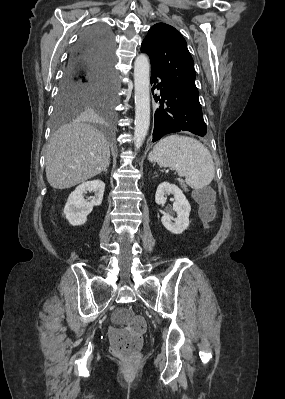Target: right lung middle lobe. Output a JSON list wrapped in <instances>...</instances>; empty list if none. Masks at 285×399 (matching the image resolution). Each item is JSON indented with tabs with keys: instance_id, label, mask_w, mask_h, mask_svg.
I'll return each instance as SVG.
<instances>
[{
	"instance_id": "right-lung-middle-lobe-1",
	"label": "right lung middle lobe",
	"mask_w": 285,
	"mask_h": 399,
	"mask_svg": "<svg viewBox=\"0 0 285 399\" xmlns=\"http://www.w3.org/2000/svg\"><path fill=\"white\" fill-rule=\"evenodd\" d=\"M114 95V82L86 84L63 78L55 102V122L58 125L80 111L110 119Z\"/></svg>"
}]
</instances>
